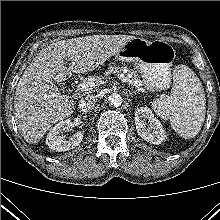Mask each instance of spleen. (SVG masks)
Listing matches in <instances>:
<instances>
[{
	"instance_id": "obj_1",
	"label": "spleen",
	"mask_w": 220,
	"mask_h": 220,
	"mask_svg": "<svg viewBox=\"0 0 220 220\" xmlns=\"http://www.w3.org/2000/svg\"><path fill=\"white\" fill-rule=\"evenodd\" d=\"M174 84L169 96L154 101L152 107L185 139L195 137L203 125L206 99L199 78L189 67L178 65L173 72Z\"/></svg>"
}]
</instances>
